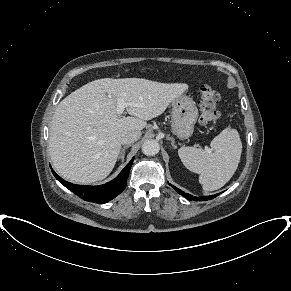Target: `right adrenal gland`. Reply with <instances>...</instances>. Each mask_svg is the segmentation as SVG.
I'll return each mask as SVG.
<instances>
[{
	"mask_svg": "<svg viewBox=\"0 0 291 291\" xmlns=\"http://www.w3.org/2000/svg\"><path fill=\"white\" fill-rule=\"evenodd\" d=\"M129 147H130V145H125V146L122 147L118 159H121L122 161L124 160V157H125V150H126L127 148H129Z\"/></svg>",
	"mask_w": 291,
	"mask_h": 291,
	"instance_id": "obj_1",
	"label": "right adrenal gland"
}]
</instances>
